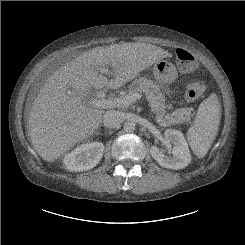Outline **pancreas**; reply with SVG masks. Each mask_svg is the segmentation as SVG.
Returning a JSON list of instances; mask_svg holds the SVG:
<instances>
[{
  "label": "pancreas",
  "mask_w": 245,
  "mask_h": 245,
  "mask_svg": "<svg viewBox=\"0 0 245 245\" xmlns=\"http://www.w3.org/2000/svg\"><path fill=\"white\" fill-rule=\"evenodd\" d=\"M128 92L143 93L149 101L152 111L161 118L166 126L188 122L191 119L192 114L189 109H177L172 114H167L165 96L160 92V87L152 80L144 77L135 79L130 84Z\"/></svg>",
  "instance_id": "obj_1"
}]
</instances>
